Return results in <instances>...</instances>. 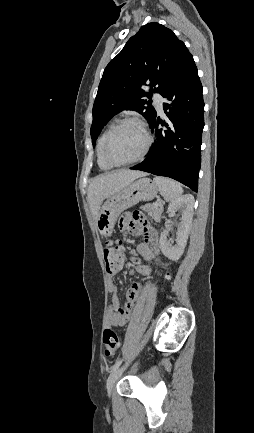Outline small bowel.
I'll return each mask as SVG.
<instances>
[{
	"label": "small bowel",
	"mask_w": 254,
	"mask_h": 433,
	"mask_svg": "<svg viewBox=\"0 0 254 433\" xmlns=\"http://www.w3.org/2000/svg\"><path fill=\"white\" fill-rule=\"evenodd\" d=\"M119 226L123 229H129L135 234L140 232L145 234L144 242L139 245L138 252L145 260L153 261L155 255L159 252L157 233L149 229L144 220H132L131 215H124L119 221ZM126 260L127 258L123 255L118 270L109 273L114 275L120 272ZM132 261L134 262V266L131 269L132 274L137 273L146 277L151 275L152 270L150 266L142 264L134 258ZM109 290L111 302L105 314V323L107 326L123 327L130 321L133 307L140 295L142 286L140 283H133L126 292V302L123 305L120 302L116 286L112 281L109 283Z\"/></svg>",
	"instance_id": "small-bowel-1"
}]
</instances>
